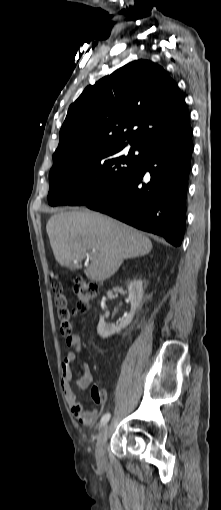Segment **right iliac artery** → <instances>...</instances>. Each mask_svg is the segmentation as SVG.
Wrapping results in <instances>:
<instances>
[{
    "label": "right iliac artery",
    "instance_id": "82829eb1",
    "mask_svg": "<svg viewBox=\"0 0 221 510\" xmlns=\"http://www.w3.org/2000/svg\"><path fill=\"white\" fill-rule=\"evenodd\" d=\"M110 419V414L109 413H106L102 416L101 420H100V426H104Z\"/></svg>",
    "mask_w": 221,
    "mask_h": 510
}]
</instances>
